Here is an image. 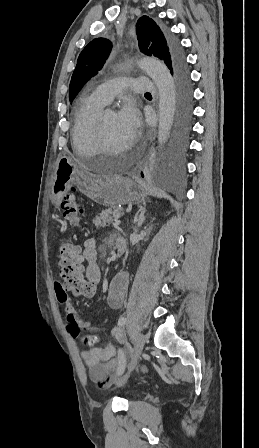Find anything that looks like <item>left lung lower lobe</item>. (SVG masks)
<instances>
[{"instance_id": "left-lung-lower-lobe-1", "label": "left lung lower lobe", "mask_w": 259, "mask_h": 448, "mask_svg": "<svg viewBox=\"0 0 259 448\" xmlns=\"http://www.w3.org/2000/svg\"><path fill=\"white\" fill-rule=\"evenodd\" d=\"M174 41L176 56L171 66V74L174 75L177 113L174 127L173 140L166 164L161 172V181L168 186L175 185L184 173L185 158L189 151V137L192 133L193 118V90L190 73L184 54ZM142 177L144 176L141 173Z\"/></svg>"}]
</instances>
